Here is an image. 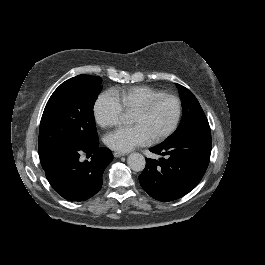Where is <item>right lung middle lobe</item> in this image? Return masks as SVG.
Segmentation results:
<instances>
[{
    "mask_svg": "<svg viewBox=\"0 0 265 265\" xmlns=\"http://www.w3.org/2000/svg\"><path fill=\"white\" fill-rule=\"evenodd\" d=\"M101 82L100 77L78 75L53 92L40 123L39 155L51 148L81 149L97 142L93 107Z\"/></svg>",
    "mask_w": 265,
    "mask_h": 265,
    "instance_id": "1",
    "label": "right lung middle lobe"
}]
</instances>
